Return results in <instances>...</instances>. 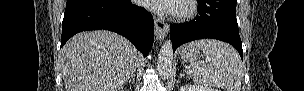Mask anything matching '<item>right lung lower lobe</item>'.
I'll return each mask as SVG.
<instances>
[{
    "mask_svg": "<svg viewBox=\"0 0 304 91\" xmlns=\"http://www.w3.org/2000/svg\"><path fill=\"white\" fill-rule=\"evenodd\" d=\"M106 29L126 37L148 54L154 40V21L130 0H67L62 22L61 47L81 31Z\"/></svg>",
    "mask_w": 304,
    "mask_h": 91,
    "instance_id": "98d812e1",
    "label": "right lung lower lobe"
}]
</instances>
